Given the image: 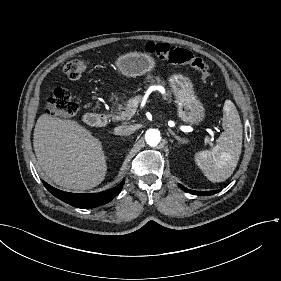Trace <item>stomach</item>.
Returning <instances> with one entry per match:
<instances>
[{
    "label": "stomach",
    "mask_w": 281,
    "mask_h": 281,
    "mask_svg": "<svg viewBox=\"0 0 281 281\" xmlns=\"http://www.w3.org/2000/svg\"><path fill=\"white\" fill-rule=\"evenodd\" d=\"M114 66L122 76L137 78L153 72L157 60L150 53L130 51L117 56ZM167 84L179 120L193 126H200L205 121L207 112L197 95L193 80L185 73L174 72L168 75ZM105 92L109 93L110 89L107 88Z\"/></svg>",
    "instance_id": "stomach-1"
}]
</instances>
